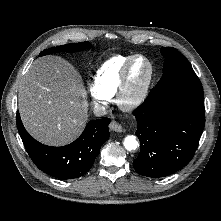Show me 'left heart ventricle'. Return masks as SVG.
I'll return each mask as SVG.
<instances>
[{
  "instance_id": "b2bd125f",
  "label": "left heart ventricle",
  "mask_w": 221,
  "mask_h": 221,
  "mask_svg": "<svg viewBox=\"0 0 221 221\" xmlns=\"http://www.w3.org/2000/svg\"><path fill=\"white\" fill-rule=\"evenodd\" d=\"M149 72V67L147 63L138 59L134 62L129 78V96L136 95L142 88Z\"/></svg>"
}]
</instances>
